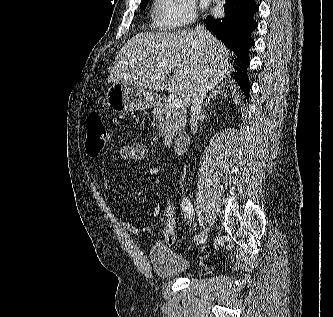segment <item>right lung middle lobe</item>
I'll use <instances>...</instances> for the list:
<instances>
[{
	"mask_svg": "<svg viewBox=\"0 0 333 317\" xmlns=\"http://www.w3.org/2000/svg\"><path fill=\"white\" fill-rule=\"evenodd\" d=\"M148 2H149V0L142 1L140 7H141L142 9H145L146 6H147V4H148Z\"/></svg>",
	"mask_w": 333,
	"mask_h": 317,
	"instance_id": "right-lung-middle-lobe-1",
	"label": "right lung middle lobe"
}]
</instances>
